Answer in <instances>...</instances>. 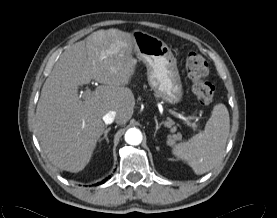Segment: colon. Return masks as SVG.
<instances>
[{
	"instance_id": "1",
	"label": "colon",
	"mask_w": 277,
	"mask_h": 218,
	"mask_svg": "<svg viewBox=\"0 0 277 218\" xmlns=\"http://www.w3.org/2000/svg\"><path fill=\"white\" fill-rule=\"evenodd\" d=\"M185 68L197 100L203 105L211 103L215 87L208 80L209 68L206 59L197 52H190L186 57Z\"/></svg>"
}]
</instances>
